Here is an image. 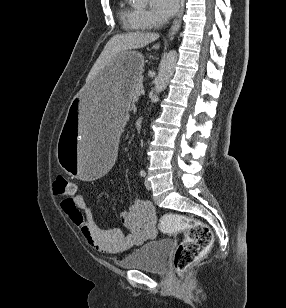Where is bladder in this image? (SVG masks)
<instances>
[{"mask_svg":"<svg viewBox=\"0 0 286 308\" xmlns=\"http://www.w3.org/2000/svg\"><path fill=\"white\" fill-rule=\"evenodd\" d=\"M170 246L171 244L168 240L150 241L134 249L122 258L119 263L124 269L162 273L167 267V255Z\"/></svg>","mask_w":286,"mask_h":308,"instance_id":"bladder-1","label":"bladder"}]
</instances>
